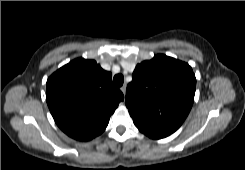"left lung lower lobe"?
Wrapping results in <instances>:
<instances>
[{
	"label": "left lung lower lobe",
	"instance_id": "1",
	"mask_svg": "<svg viewBox=\"0 0 245 170\" xmlns=\"http://www.w3.org/2000/svg\"><path fill=\"white\" fill-rule=\"evenodd\" d=\"M134 124L140 130V132L144 133L145 135H147L148 137H150L152 139L164 138V137H167L168 135H170L172 133V132H168L165 130L152 128V127H149V126H146L143 124H138L136 122H134Z\"/></svg>",
	"mask_w": 245,
	"mask_h": 170
}]
</instances>
